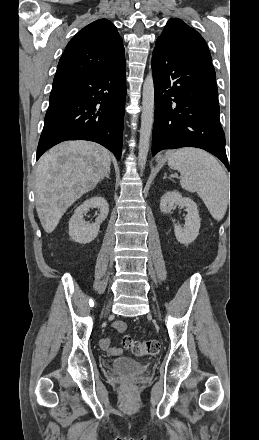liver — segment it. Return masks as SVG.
I'll list each match as a JSON object with an SVG mask.
<instances>
[{
  "instance_id": "obj_1",
  "label": "liver",
  "mask_w": 259,
  "mask_h": 440,
  "mask_svg": "<svg viewBox=\"0 0 259 440\" xmlns=\"http://www.w3.org/2000/svg\"><path fill=\"white\" fill-rule=\"evenodd\" d=\"M111 153L91 141H65L39 160L35 179L36 211L52 233L67 209L93 190L110 171Z\"/></svg>"
}]
</instances>
